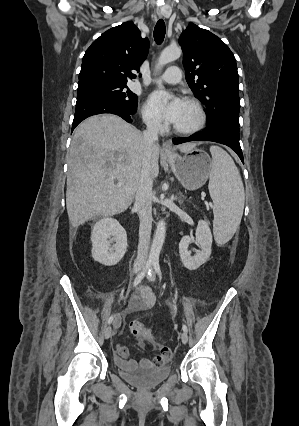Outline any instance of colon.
Returning <instances> with one entry per match:
<instances>
[{
    "mask_svg": "<svg viewBox=\"0 0 299 426\" xmlns=\"http://www.w3.org/2000/svg\"><path fill=\"white\" fill-rule=\"evenodd\" d=\"M130 331L135 337L142 339V340H145V341H148V342H151L154 345L160 347L161 350H164L166 352H170V350L168 348L161 346V344L159 343L158 339L155 337L153 332L149 328H147L143 323H141L139 321L131 322Z\"/></svg>",
    "mask_w": 299,
    "mask_h": 426,
    "instance_id": "1",
    "label": "colon"
}]
</instances>
